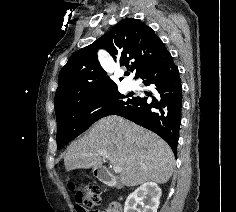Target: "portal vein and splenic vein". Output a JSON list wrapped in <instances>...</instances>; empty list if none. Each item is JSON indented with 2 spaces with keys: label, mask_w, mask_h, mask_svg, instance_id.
I'll return each mask as SVG.
<instances>
[{
  "label": "portal vein and splenic vein",
  "mask_w": 236,
  "mask_h": 212,
  "mask_svg": "<svg viewBox=\"0 0 236 212\" xmlns=\"http://www.w3.org/2000/svg\"><path fill=\"white\" fill-rule=\"evenodd\" d=\"M96 155H101V156L109 159L108 154L104 151H97ZM113 170H114L115 173H120L122 171V168L120 166H114Z\"/></svg>",
  "instance_id": "1"
}]
</instances>
